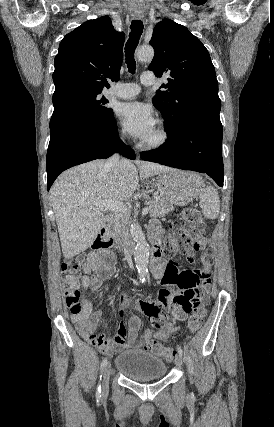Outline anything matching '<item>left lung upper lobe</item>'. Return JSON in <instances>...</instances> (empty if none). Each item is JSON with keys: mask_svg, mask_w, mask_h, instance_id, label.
Returning a JSON list of instances; mask_svg holds the SVG:
<instances>
[{"mask_svg": "<svg viewBox=\"0 0 274 427\" xmlns=\"http://www.w3.org/2000/svg\"><path fill=\"white\" fill-rule=\"evenodd\" d=\"M150 45L155 54L149 70L169 76L161 86L167 90H157L152 100L164 117L168 135L196 117L220 119L215 69L200 40L186 27L163 19L155 26Z\"/></svg>", "mask_w": 274, "mask_h": 427, "instance_id": "left-lung-upper-lobe-1", "label": "left lung upper lobe"}]
</instances>
